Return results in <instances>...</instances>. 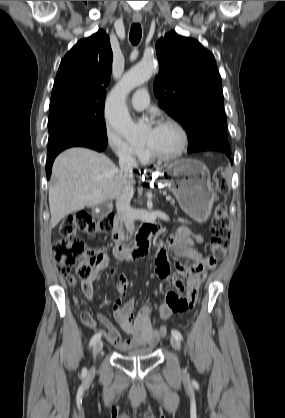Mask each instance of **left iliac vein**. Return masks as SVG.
<instances>
[{
    "label": "left iliac vein",
    "mask_w": 285,
    "mask_h": 418,
    "mask_svg": "<svg viewBox=\"0 0 285 418\" xmlns=\"http://www.w3.org/2000/svg\"><path fill=\"white\" fill-rule=\"evenodd\" d=\"M170 344L177 351H179L180 348H181L180 341L177 338H175V337H171Z\"/></svg>",
    "instance_id": "left-iliac-vein-1"
}]
</instances>
